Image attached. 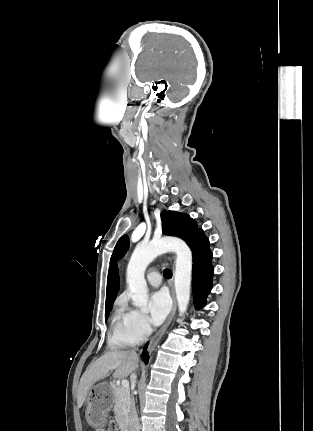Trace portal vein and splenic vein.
<instances>
[{
  "mask_svg": "<svg viewBox=\"0 0 313 431\" xmlns=\"http://www.w3.org/2000/svg\"><path fill=\"white\" fill-rule=\"evenodd\" d=\"M121 386L125 389H128L129 388V382L127 380H122Z\"/></svg>",
  "mask_w": 313,
  "mask_h": 431,
  "instance_id": "18ae733b",
  "label": "portal vein and splenic vein"
}]
</instances>
